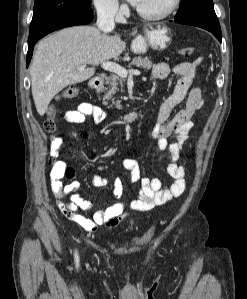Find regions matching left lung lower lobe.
Returning <instances> with one entry per match:
<instances>
[{
	"instance_id": "left-lung-lower-lobe-1",
	"label": "left lung lower lobe",
	"mask_w": 247,
	"mask_h": 299,
	"mask_svg": "<svg viewBox=\"0 0 247 299\" xmlns=\"http://www.w3.org/2000/svg\"><path fill=\"white\" fill-rule=\"evenodd\" d=\"M174 22L203 28L213 33L220 42L222 41L221 28L219 23H215L206 18L198 17V16H190L181 19H174Z\"/></svg>"
}]
</instances>
